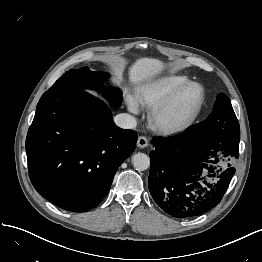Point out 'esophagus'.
I'll return each mask as SVG.
<instances>
[{
  "label": "esophagus",
  "mask_w": 262,
  "mask_h": 262,
  "mask_svg": "<svg viewBox=\"0 0 262 262\" xmlns=\"http://www.w3.org/2000/svg\"><path fill=\"white\" fill-rule=\"evenodd\" d=\"M148 143H149V141H148L147 137H145V136H139V137H138L137 146H138L139 148H145V147H147V146H148Z\"/></svg>",
  "instance_id": "esophagus-1"
}]
</instances>
